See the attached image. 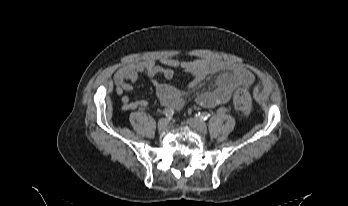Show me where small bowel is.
<instances>
[{
    "label": "small bowel",
    "mask_w": 348,
    "mask_h": 206,
    "mask_svg": "<svg viewBox=\"0 0 348 206\" xmlns=\"http://www.w3.org/2000/svg\"><path fill=\"white\" fill-rule=\"evenodd\" d=\"M176 68L183 69L190 74L191 80L187 85L188 89L196 88L206 77L218 74L216 88L201 92L196 97L197 103L207 108L227 103L236 87H250L254 83V76L244 66L221 59L178 60L163 58L161 64L150 59L128 62L120 66L114 75L116 92L122 96L123 110L143 109L148 106L147 100L132 101L125 94L132 89L139 74H145L153 79L152 82L162 106L173 110L181 109L185 103L184 91L155 79L156 76H162L167 80L171 79Z\"/></svg>",
    "instance_id": "1"
}]
</instances>
